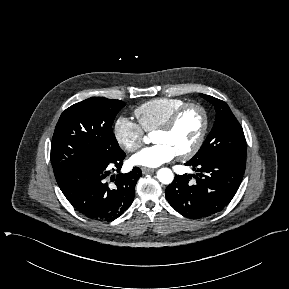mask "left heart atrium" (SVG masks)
Segmentation results:
<instances>
[{
	"mask_svg": "<svg viewBox=\"0 0 289 289\" xmlns=\"http://www.w3.org/2000/svg\"><path fill=\"white\" fill-rule=\"evenodd\" d=\"M176 156V152L169 145L157 143L133 155L131 157V163L144 167H158L171 161Z\"/></svg>",
	"mask_w": 289,
	"mask_h": 289,
	"instance_id": "39dd6f15",
	"label": "left heart atrium"
}]
</instances>
